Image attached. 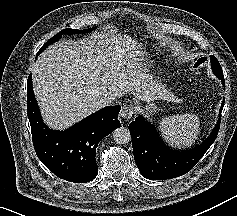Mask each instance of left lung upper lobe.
<instances>
[{"label":"left lung upper lobe","mask_w":237,"mask_h":216,"mask_svg":"<svg viewBox=\"0 0 237 216\" xmlns=\"http://www.w3.org/2000/svg\"><path fill=\"white\" fill-rule=\"evenodd\" d=\"M211 68L214 74L221 80H224L222 68L214 56H211Z\"/></svg>","instance_id":"left-lung-upper-lobe-1"}]
</instances>
